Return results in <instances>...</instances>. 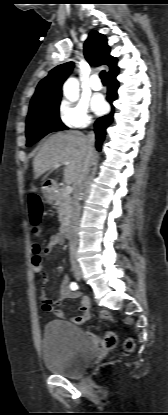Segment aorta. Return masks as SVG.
I'll return each mask as SVG.
<instances>
[{
	"label": "aorta",
	"mask_w": 168,
	"mask_h": 415,
	"mask_svg": "<svg viewBox=\"0 0 168 415\" xmlns=\"http://www.w3.org/2000/svg\"><path fill=\"white\" fill-rule=\"evenodd\" d=\"M64 95L70 101L78 99V84L73 78L69 79L64 85Z\"/></svg>",
	"instance_id": "1"
}]
</instances>
